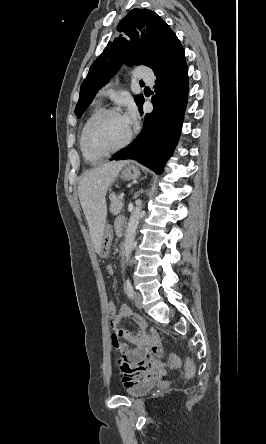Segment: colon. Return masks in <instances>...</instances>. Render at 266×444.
I'll list each match as a JSON object with an SVG mask.
<instances>
[{"mask_svg":"<svg viewBox=\"0 0 266 444\" xmlns=\"http://www.w3.org/2000/svg\"><path fill=\"white\" fill-rule=\"evenodd\" d=\"M107 310H108V313L110 314L111 318H113L117 314L118 310L116 307V303L113 300L108 301ZM168 361L172 367L180 366V359L175 354L169 355ZM195 375H196L195 363L190 358H186V360H185V376L188 379H192L195 377Z\"/></svg>","mask_w":266,"mask_h":444,"instance_id":"colon-1","label":"colon"}]
</instances>
